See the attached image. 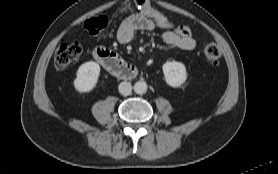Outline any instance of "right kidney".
<instances>
[{"label": "right kidney", "mask_w": 278, "mask_h": 174, "mask_svg": "<svg viewBox=\"0 0 278 174\" xmlns=\"http://www.w3.org/2000/svg\"><path fill=\"white\" fill-rule=\"evenodd\" d=\"M100 74L98 63L89 61L82 64L77 70L74 87L80 93L90 92L96 85Z\"/></svg>", "instance_id": "ca27d5eb"}]
</instances>
